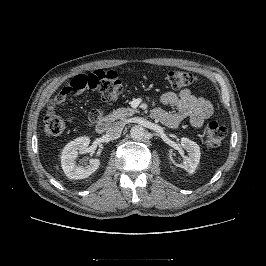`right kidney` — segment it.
<instances>
[{
    "label": "right kidney",
    "instance_id": "right-kidney-1",
    "mask_svg": "<svg viewBox=\"0 0 266 266\" xmlns=\"http://www.w3.org/2000/svg\"><path fill=\"white\" fill-rule=\"evenodd\" d=\"M90 143L88 137H79L69 142L63 149L61 155V166L65 175L70 179H85L93 174L100 165L99 159H90L84 166L75 162L78 152L84 151Z\"/></svg>",
    "mask_w": 266,
    "mask_h": 266
}]
</instances>
